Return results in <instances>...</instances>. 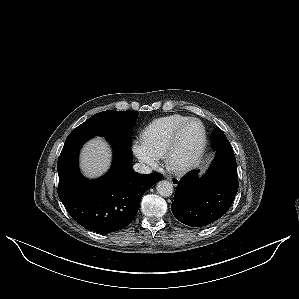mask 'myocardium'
Segmentation results:
<instances>
[{
	"instance_id": "1",
	"label": "myocardium",
	"mask_w": 299,
	"mask_h": 299,
	"mask_svg": "<svg viewBox=\"0 0 299 299\" xmlns=\"http://www.w3.org/2000/svg\"><path fill=\"white\" fill-rule=\"evenodd\" d=\"M192 122L199 123V125L201 126V129H202V140H201L199 150L196 153V155L189 161H187L181 165H174L171 161V156L175 150L179 135L181 134L182 130L188 124H190ZM206 145H207V133H206L204 124L198 118H194V117L188 118L187 120H185L183 123H181L176 128V130L172 134V136L167 144V147H166L164 155H163V160H164V164H165L166 168L176 174H183V173L190 171L191 169L196 167L199 164V162L201 161V159L205 153V150H206Z\"/></svg>"
}]
</instances>
